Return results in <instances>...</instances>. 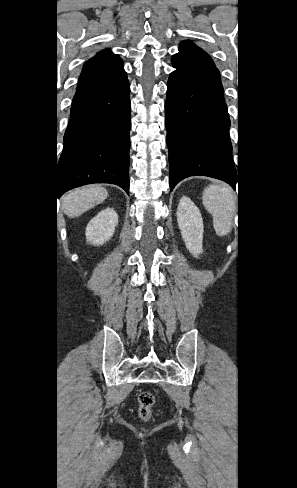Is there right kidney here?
Returning <instances> with one entry per match:
<instances>
[{
	"instance_id": "1",
	"label": "right kidney",
	"mask_w": 297,
	"mask_h": 488,
	"mask_svg": "<svg viewBox=\"0 0 297 488\" xmlns=\"http://www.w3.org/2000/svg\"><path fill=\"white\" fill-rule=\"evenodd\" d=\"M118 224V214L113 208H106L90 220L86 227L87 242L100 246L110 240Z\"/></svg>"
}]
</instances>
